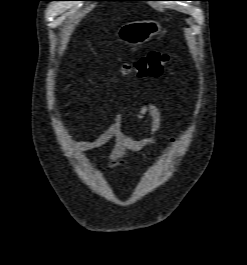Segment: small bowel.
I'll list each match as a JSON object with an SVG mask.
<instances>
[{"instance_id": "obj_1", "label": "small bowel", "mask_w": 247, "mask_h": 265, "mask_svg": "<svg viewBox=\"0 0 247 265\" xmlns=\"http://www.w3.org/2000/svg\"><path fill=\"white\" fill-rule=\"evenodd\" d=\"M146 117L149 118V134L145 138H138L136 129L125 132L123 129V115L117 113L113 122L104 132L91 141L76 142L75 149L77 151L96 149L113 139L115 145L107 158L106 167H122L124 158L128 153L150 147L156 142V136L161 125V109L152 102L143 105L136 114V122L141 123ZM172 142H175L174 138H172Z\"/></svg>"}]
</instances>
